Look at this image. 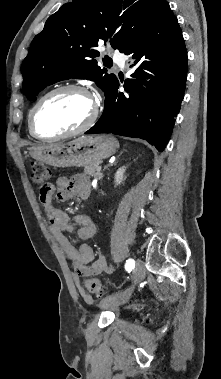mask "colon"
<instances>
[{"label": "colon", "mask_w": 221, "mask_h": 379, "mask_svg": "<svg viewBox=\"0 0 221 379\" xmlns=\"http://www.w3.org/2000/svg\"><path fill=\"white\" fill-rule=\"evenodd\" d=\"M52 177L51 170L44 164L35 162L32 164V181L39 187V195L46 196L51 190L50 180ZM85 286L88 291L97 295L104 293V287L97 278H87Z\"/></svg>", "instance_id": "5ec220e1"}]
</instances>
